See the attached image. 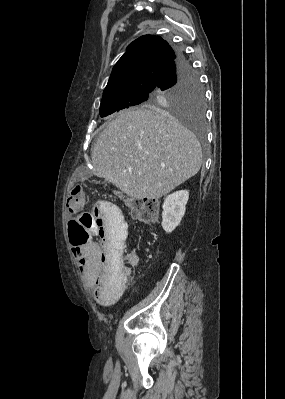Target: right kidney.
<instances>
[{
	"mask_svg": "<svg viewBox=\"0 0 285 399\" xmlns=\"http://www.w3.org/2000/svg\"><path fill=\"white\" fill-rule=\"evenodd\" d=\"M188 198L187 190L176 191L165 198L162 206V227L166 233H171L181 222Z\"/></svg>",
	"mask_w": 285,
	"mask_h": 399,
	"instance_id": "obj_1",
	"label": "right kidney"
}]
</instances>
